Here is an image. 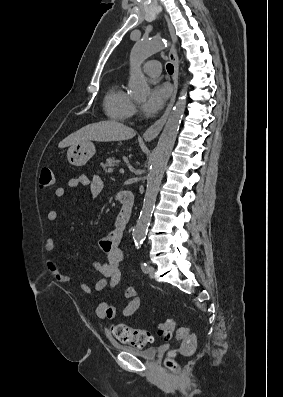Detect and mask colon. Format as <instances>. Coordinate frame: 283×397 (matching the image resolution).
<instances>
[{
  "instance_id": "colon-1",
  "label": "colon",
  "mask_w": 283,
  "mask_h": 397,
  "mask_svg": "<svg viewBox=\"0 0 283 397\" xmlns=\"http://www.w3.org/2000/svg\"><path fill=\"white\" fill-rule=\"evenodd\" d=\"M55 177L51 168L45 167L41 170L39 176V186L42 189H48L54 186ZM175 331V321L172 318H167L158 325V335L164 339H170ZM111 333L115 339L121 343H125L137 348L145 347L152 341L151 333L144 329H133L126 324L117 323L111 326ZM176 337L182 341V346L179 353L182 355H191L196 349V339L191 329L188 326H181L176 331ZM175 352H170L166 360V367L169 370H174L176 364L174 362Z\"/></svg>"
}]
</instances>
